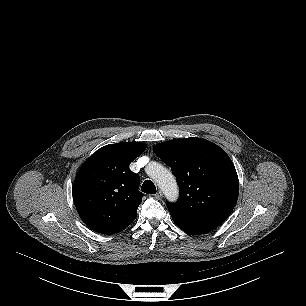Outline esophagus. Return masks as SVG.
Returning <instances> with one entry per match:
<instances>
[{"mask_svg": "<svg viewBox=\"0 0 306 306\" xmlns=\"http://www.w3.org/2000/svg\"><path fill=\"white\" fill-rule=\"evenodd\" d=\"M162 196H163V193L160 190L155 194V198L158 199V200L161 199Z\"/></svg>", "mask_w": 306, "mask_h": 306, "instance_id": "34e87169", "label": "esophagus"}]
</instances>
